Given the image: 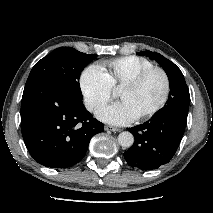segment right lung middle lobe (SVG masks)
Segmentation results:
<instances>
[{"instance_id": "1", "label": "right lung middle lobe", "mask_w": 213, "mask_h": 213, "mask_svg": "<svg viewBox=\"0 0 213 213\" xmlns=\"http://www.w3.org/2000/svg\"><path fill=\"white\" fill-rule=\"evenodd\" d=\"M71 47H60L39 60L32 68L26 85L46 82L65 92L70 98L82 102L79 77L83 68L95 59Z\"/></svg>"}]
</instances>
